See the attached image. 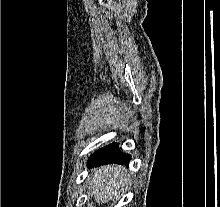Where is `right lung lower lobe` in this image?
Returning a JSON list of instances; mask_svg holds the SVG:
<instances>
[{"label": "right lung lower lobe", "mask_w": 220, "mask_h": 207, "mask_svg": "<svg viewBox=\"0 0 220 207\" xmlns=\"http://www.w3.org/2000/svg\"><path fill=\"white\" fill-rule=\"evenodd\" d=\"M129 161L130 155L122 153L118 148V143H112L91 155L87 165L92 167L109 163L128 164Z\"/></svg>", "instance_id": "98d812e1"}]
</instances>
